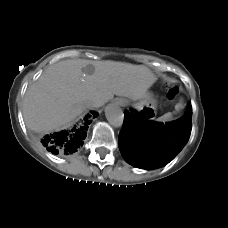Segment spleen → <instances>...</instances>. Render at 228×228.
<instances>
[{"instance_id": "3e777b00", "label": "spleen", "mask_w": 228, "mask_h": 228, "mask_svg": "<svg viewBox=\"0 0 228 228\" xmlns=\"http://www.w3.org/2000/svg\"><path fill=\"white\" fill-rule=\"evenodd\" d=\"M179 108H180V104L176 105V109L178 110ZM171 117H172V113H171V112H168V113L164 114L163 116H161V117L159 118V120H161V121H167V120H169Z\"/></svg>"}]
</instances>
